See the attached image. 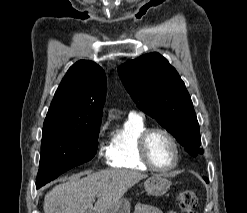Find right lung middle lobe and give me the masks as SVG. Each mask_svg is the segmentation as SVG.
Masks as SVG:
<instances>
[{
    "instance_id": "dd1d6c3e",
    "label": "right lung middle lobe",
    "mask_w": 247,
    "mask_h": 213,
    "mask_svg": "<svg viewBox=\"0 0 247 213\" xmlns=\"http://www.w3.org/2000/svg\"><path fill=\"white\" fill-rule=\"evenodd\" d=\"M99 131L100 126H43L36 187L40 188L65 171L91 160L97 151Z\"/></svg>"
}]
</instances>
